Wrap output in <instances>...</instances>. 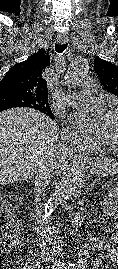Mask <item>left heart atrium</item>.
I'll list each match as a JSON object with an SVG mask.
<instances>
[{"mask_svg":"<svg viewBox=\"0 0 118 269\" xmlns=\"http://www.w3.org/2000/svg\"><path fill=\"white\" fill-rule=\"evenodd\" d=\"M102 118L103 117H100L98 115L90 114L85 110H79L75 112L73 115V121L80 129H83V130L88 129L89 125L93 121L98 122V120ZM92 129L94 130V126H92Z\"/></svg>","mask_w":118,"mask_h":269,"instance_id":"1","label":"left heart atrium"}]
</instances>
